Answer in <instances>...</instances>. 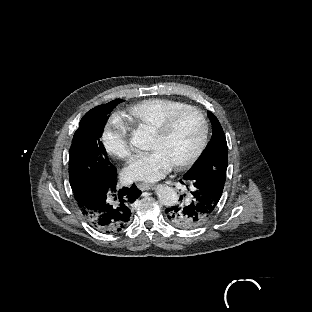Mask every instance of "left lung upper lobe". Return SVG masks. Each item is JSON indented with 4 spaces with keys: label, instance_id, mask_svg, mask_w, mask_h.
<instances>
[{
    "label": "left lung upper lobe",
    "instance_id": "obj_1",
    "mask_svg": "<svg viewBox=\"0 0 312 312\" xmlns=\"http://www.w3.org/2000/svg\"><path fill=\"white\" fill-rule=\"evenodd\" d=\"M208 117L212 123V138L194 166L183 177L185 180L215 172L226 173L228 163L226 137L216 116L208 111Z\"/></svg>",
    "mask_w": 312,
    "mask_h": 312
}]
</instances>
